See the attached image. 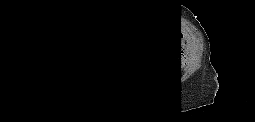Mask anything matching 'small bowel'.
Listing matches in <instances>:
<instances>
[{
    "instance_id": "c3829d8e",
    "label": "small bowel",
    "mask_w": 255,
    "mask_h": 122,
    "mask_svg": "<svg viewBox=\"0 0 255 122\" xmlns=\"http://www.w3.org/2000/svg\"><path fill=\"white\" fill-rule=\"evenodd\" d=\"M167 44L165 42H161L158 44V46L155 48V51L158 53H162L164 52L165 48H166Z\"/></svg>"
}]
</instances>
